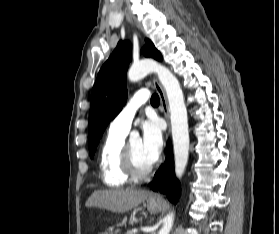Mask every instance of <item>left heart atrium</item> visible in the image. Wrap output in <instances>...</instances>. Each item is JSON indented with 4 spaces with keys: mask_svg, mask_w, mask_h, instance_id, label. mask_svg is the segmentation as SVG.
<instances>
[{
    "mask_svg": "<svg viewBox=\"0 0 279 234\" xmlns=\"http://www.w3.org/2000/svg\"><path fill=\"white\" fill-rule=\"evenodd\" d=\"M141 142L147 155L155 161L163 146L162 131L157 120L151 119L142 124Z\"/></svg>",
    "mask_w": 279,
    "mask_h": 234,
    "instance_id": "39dd6f15",
    "label": "left heart atrium"
}]
</instances>
